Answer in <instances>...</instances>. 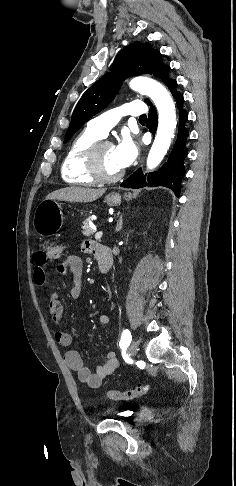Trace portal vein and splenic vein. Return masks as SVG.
<instances>
[{
  "label": "portal vein and splenic vein",
  "instance_id": "obj_1",
  "mask_svg": "<svg viewBox=\"0 0 236 486\" xmlns=\"http://www.w3.org/2000/svg\"><path fill=\"white\" fill-rule=\"evenodd\" d=\"M102 235H103V232L102 231L96 232L95 239H100L102 237Z\"/></svg>",
  "mask_w": 236,
  "mask_h": 486
}]
</instances>
